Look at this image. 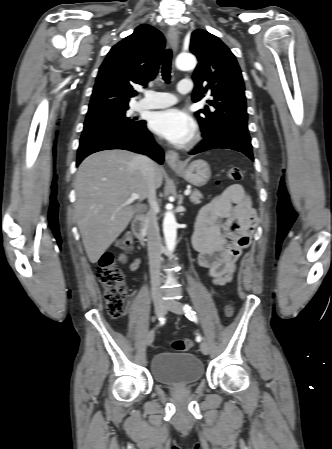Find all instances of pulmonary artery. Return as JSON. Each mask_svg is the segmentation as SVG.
<instances>
[{
  "label": "pulmonary artery",
  "mask_w": 332,
  "mask_h": 449,
  "mask_svg": "<svg viewBox=\"0 0 332 449\" xmlns=\"http://www.w3.org/2000/svg\"><path fill=\"white\" fill-rule=\"evenodd\" d=\"M192 87L188 80H182L177 85V90L181 94H187ZM176 97L169 92H146L144 98L138 102V107L142 109L164 108L175 104Z\"/></svg>",
  "instance_id": "e3ab8cb5"
}]
</instances>
